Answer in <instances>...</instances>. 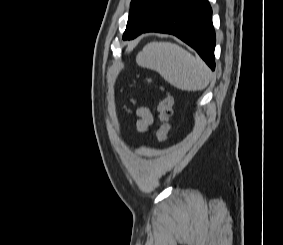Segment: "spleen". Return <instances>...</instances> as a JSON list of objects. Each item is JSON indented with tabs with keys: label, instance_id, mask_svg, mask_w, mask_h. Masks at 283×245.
Segmentation results:
<instances>
[{
	"label": "spleen",
	"instance_id": "1",
	"mask_svg": "<svg viewBox=\"0 0 283 245\" xmlns=\"http://www.w3.org/2000/svg\"><path fill=\"white\" fill-rule=\"evenodd\" d=\"M136 62L158 72L168 83L184 91L203 90L211 78L209 68L200 58L175 43H148L138 53Z\"/></svg>",
	"mask_w": 283,
	"mask_h": 245
}]
</instances>
